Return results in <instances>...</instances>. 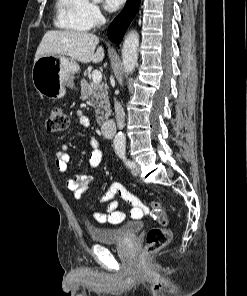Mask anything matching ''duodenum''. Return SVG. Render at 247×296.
Wrapping results in <instances>:
<instances>
[{
    "label": "duodenum",
    "mask_w": 247,
    "mask_h": 296,
    "mask_svg": "<svg viewBox=\"0 0 247 296\" xmlns=\"http://www.w3.org/2000/svg\"><path fill=\"white\" fill-rule=\"evenodd\" d=\"M102 134L107 138H112L115 133V123L112 119H105L100 124Z\"/></svg>",
    "instance_id": "1"
}]
</instances>
